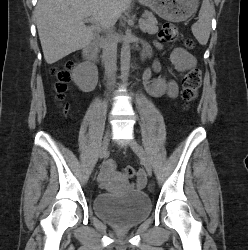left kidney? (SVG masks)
I'll return each instance as SVG.
<instances>
[{
  "mask_svg": "<svg viewBox=\"0 0 248 250\" xmlns=\"http://www.w3.org/2000/svg\"><path fill=\"white\" fill-rule=\"evenodd\" d=\"M157 86L159 87L160 91H164L165 88H166V83H165V81L163 80V81H160V82L157 84Z\"/></svg>",
  "mask_w": 248,
  "mask_h": 250,
  "instance_id": "5707ae66",
  "label": "left kidney"
}]
</instances>
